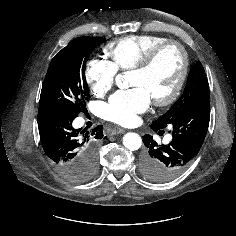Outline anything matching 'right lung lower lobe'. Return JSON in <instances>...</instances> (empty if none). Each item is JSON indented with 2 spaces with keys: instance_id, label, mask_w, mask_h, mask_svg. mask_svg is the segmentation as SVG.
<instances>
[{
  "instance_id": "right-lung-lower-lobe-1",
  "label": "right lung lower lobe",
  "mask_w": 236,
  "mask_h": 236,
  "mask_svg": "<svg viewBox=\"0 0 236 236\" xmlns=\"http://www.w3.org/2000/svg\"><path fill=\"white\" fill-rule=\"evenodd\" d=\"M76 117L53 112L38 113V128L44 152L67 179L79 182L81 170L97 159L99 140L103 138L102 126L91 132L75 129Z\"/></svg>"
}]
</instances>
